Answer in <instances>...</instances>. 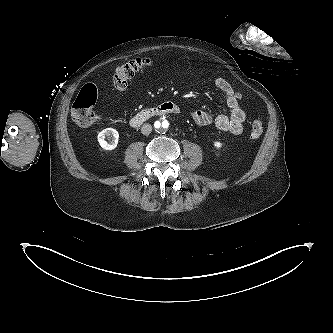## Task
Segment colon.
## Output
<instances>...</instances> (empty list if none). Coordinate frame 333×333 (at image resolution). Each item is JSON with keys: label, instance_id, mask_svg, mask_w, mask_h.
<instances>
[{"label": "colon", "instance_id": "obj_1", "mask_svg": "<svg viewBox=\"0 0 333 333\" xmlns=\"http://www.w3.org/2000/svg\"><path fill=\"white\" fill-rule=\"evenodd\" d=\"M152 65L149 58H135L118 67L113 74L115 88L122 90L127 87L128 81L139 71ZM98 98V89L94 84H86L78 93L73 102L71 114L73 120L80 126L86 127L98 121L99 115L95 111ZM263 122L255 119L251 124L250 136L258 139L263 133Z\"/></svg>", "mask_w": 333, "mask_h": 333}]
</instances>
